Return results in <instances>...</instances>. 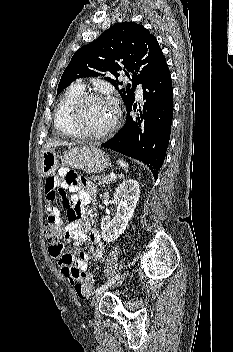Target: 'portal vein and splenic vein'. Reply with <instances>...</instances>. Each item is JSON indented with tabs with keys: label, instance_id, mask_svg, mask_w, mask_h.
<instances>
[{
	"label": "portal vein and splenic vein",
	"instance_id": "portal-vein-and-splenic-vein-1",
	"mask_svg": "<svg viewBox=\"0 0 233 352\" xmlns=\"http://www.w3.org/2000/svg\"><path fill=\"white\" fill-rule=\"evenodd\" d=\"M110 177H111L112 179H115V178H116L114 173H111V174H110Z\"/></svg>",
	"mask_w": 233,
	"mask_h": 352
}]
</instances>
